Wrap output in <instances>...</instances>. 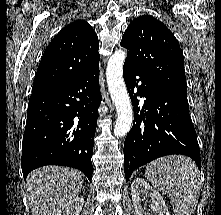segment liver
<instances>
[{
  "instance_id": "obj_1",
  "label": "liver",
  "mask_w": 221,
  "mask_h": 215,
  "mask_svg": "<svg viewBox=\"0 0 221 215\" xmlns=\"http://www.w3.org/2000/svg\"><path fill=\"white\" fill-rule=\"evenodd\" d=\"M81 172L62 166H44L32 171L26 197L32 215H55L82 189Z\"/></svg>"
}]
</instances>
